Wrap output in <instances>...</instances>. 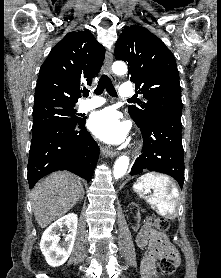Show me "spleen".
Wrapping results in <instances>:
<instances>
[{
    "mask_svg": "<svg viewBox=\"0 0 221 278\" xmlns=\"http://www.w3.org/2000/svg\"><path fill=\"white\" fill-rule=\"evenodd\" d=\"M140 197L146 199L153 209L161 216L174 219L177 215L176 204L179 192L173 181L165 175L153 172L146 173L139 177L133 185ZM152 189L153 195L147 196L146 190Z\"/></svg>",
    "mask_w": 221,
    "mask_h": 278,
    "instance_id": "spleen-1",
    "label": "spleen"
}]
</instances>
